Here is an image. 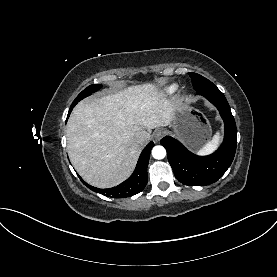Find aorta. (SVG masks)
I'll return each instance as SVG.
<instances>
[{
	"mask_svg": "<svg viewBox=\"0 0 277 277\" xmlns=\"http://www.w3.org/2000/svg\"><path fill=\"white\" fill-rule=\"evenodd\" d=\"M152 156L155 159H163L166 156V150L163 146H155L152 149Z\"/></svg>",
	"mask_w": 277,
	"mask_h": 277,
	"instance_id": "762f6f07",
	"label": "aorta"
}]
</instances>
